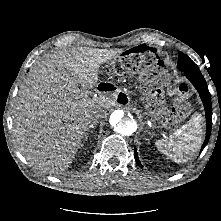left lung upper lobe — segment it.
<instances>
[{
    "instance_id": "obj_1",
    "label": "left lung upper lobe",
    "mask_w": 221,
    "mask_h": 221,
    "mask_svg": "<svg viewBox=\"0 0 221 221\" xmlns=\"http://www.w3.org/2000/svg\"><path fill=\"white\" fill-rule=\"evenodd\" d=\"M178 69L183 72H200L198 66L182 52H179Z\"/></svg>"
}]
</instances>
